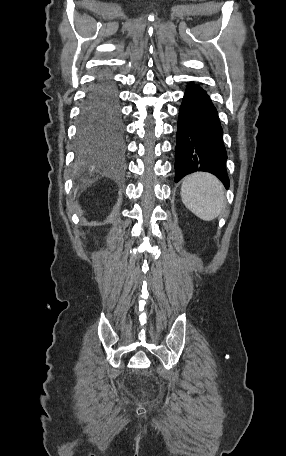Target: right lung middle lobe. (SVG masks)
<instances>
[{
    "mask_svg": "<svg viewBox=\"0 0 286 456\" xmlns=\"http://www.w3.org/2000/svg\"><path fill=\"white\" fill-rule=\"evenodd\" d=\"M120 126L111 125L110 127H105L103 124L95 121H87L81 123V134L83 136L91 137L98 134L106 132L107 129L112 130L113 132H119Z\"/></svg>",
    "mask_w": 286,
    "mask_h": 456,
    "instance_id": "right-lung-middle-lobe-1",
    "label": "right lung middle lobe"
}]
</instances>
